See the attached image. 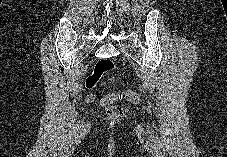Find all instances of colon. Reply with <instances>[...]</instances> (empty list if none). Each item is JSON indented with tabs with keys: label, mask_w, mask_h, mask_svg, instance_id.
Listing matches in <instances>:
<instances>
[{
	"label": "colon",
	"mask_w": 227,
	"mask_h": 157,
	"mask_svg": "<svg viewBox=\"0 0 227 157\" xmlns=\"http://www.w3.org/2000/svg\"><path fill=\"white\" fill-rule=\"evenodd\" d=\"M116 69L114 62L108 59H102L95 65L93 73L86 79V88L92 90L101 77L107 73L113 72ZM88 101L94 102L95 96L90 93ZM118 100H127L132 103H138L139 96L132 90H123L119 92L109 93L99 100V104L106 110L107 115L111 117H127L131 114V110L125 106L116 105Z\"/></svg>",
	"instance_id": "1"
}]
</instances>
